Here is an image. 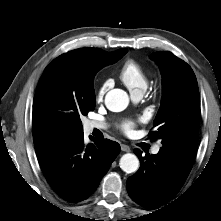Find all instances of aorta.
Returning <instances> with one entry per match:
<instances>
[{
    "mask_svg": "<svg viewBox=\"0 0 221 221\" xmlns=\"http://www.w3.org/2000/svg\"><path fill=\"white\" fill-rule=\"evenodd\" d=\"M128 104V94L122 89H112L106 94L105 105L110 111L121 112ZM119 165L124 172L133 173L139 168V160L136 155L127 153L120 158Z\"/></svg>",
    "mask_w": 221,
    "mask_h": 221,
    "instance_id": "aorta-1",
    "label": "aorta"
}]
</instances>
